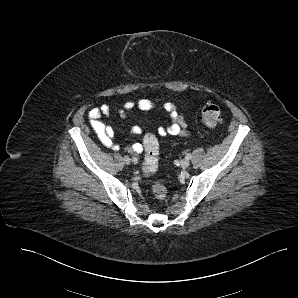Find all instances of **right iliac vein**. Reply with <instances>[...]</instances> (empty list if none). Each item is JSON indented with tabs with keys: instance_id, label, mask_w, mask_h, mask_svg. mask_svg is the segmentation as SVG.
I'll use <instances>...</instances> for the list:
<instances>
[{
	"instance_id": "1",
	"label": "right iliac vein",
	"mask_w": 298,
	"mask_h": 298,
	"mask_svg": "<svg viewBox=\"0 0 298 298\" xmlns=\"http://www.w3.org/2000/svg\"><path fill=\"white\" fill-rule=\"evenodd\" d=\"M123 161L126 163V164H129L131 162V159L128 157V156H125L123 158Z\"/></svg>"
}]
</instances>
